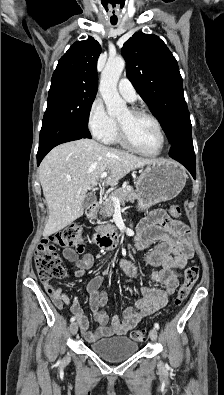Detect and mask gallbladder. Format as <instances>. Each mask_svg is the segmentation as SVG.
Masks as SVG:
<instances>
[{
    "label": "gallbladder",
    "mask_w": 224,
    "mask_h": 395,
    "mask_svg": "<svg viewBox=\"0 0 224 395\" xmlns=\"http://www.w3.org/2000/svg\"><path fill=\"white\" fill-rule=\"evenodd\" d=\"M94 202H95V196L93 194H87L83 201V209H87Z\"/></svg>",
    "instance_id": "gallbladder-1"
}]
</instances>
